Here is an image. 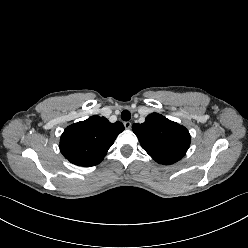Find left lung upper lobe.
I'll use <instances>...</instances> for the list:
<instances>
[{"label":"left lung upper lobe","mask_w":248,"mask_h":248,"mask_svg":"<svg viewBox=\"0 0 248 248\" xmlns=\"http://www.w3.org/2000/svg\"><path fill=\"white\" fill-rule=\"evenodd\" d=\"M132 130L142 148L161 164L179 161L190 145L188 130L158 113L148 115L142 124H133Z\"/></svg>","instance_id":"1"}]
</instances>
